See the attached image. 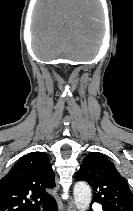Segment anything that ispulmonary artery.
Instances as JSON below:
<instances>
[{
    "label": "pulmonary artery",
    "instance_id": "obj_1",
    "mask_svg": "<svg viewBox=\"0 0 133 211\" xmlns=\"http://www.w3.org/2000/svg\"><path fill=\"white\" fill-rule=\"evenodd\" d=\"M95 211H102V210L100 209V207L95 206Z\"/></svg>",
    "mask_w": 133,
    "mask_h": 211
}]
</instances>
